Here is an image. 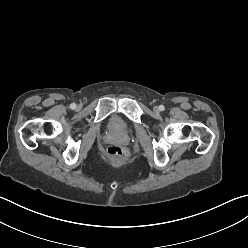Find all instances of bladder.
<instances>
[{"mask_svg":"<svg viewBox=\"0 0 248 248\" xmlns=\"http://www.w3.org/2000/svg\"><path fill=\"white\" fill-rule=\"evenodd\" d=\"M108 127L114 132H123L127 129V124L119 114H113L109 121Z\"/></svg>","mask_w":248,"mask_h":248,"instance_id":"obj_1","label":"bladder"}]
</instances>
